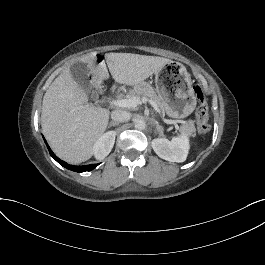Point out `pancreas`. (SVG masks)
Wrapping results in <instances>:
<instances>
[{"instance_id":"cf45deb5","label":"pancreas","mask_w":265,"mask_h":265,"mask_svg":"<svg viewBox=\"0 0 265 265\" xmlns=\"http://www.w3.org/2000/svg\"><path fill=\"white\" fill-rule=\"evenodd\" d=\"M134 96H136V97H141V96L149 97L161 109H163L164 104H165L163 98L161 96H158L156 94V92L154 91V89L152 88V86L145 81H141L138 84L134 85V88L129 90L126 97L131 98ZM181 130H187L190 133L194 132L195 127H194L193 121L189 120L185 125L181 126Z\"/></svg>"}]
</instances>
